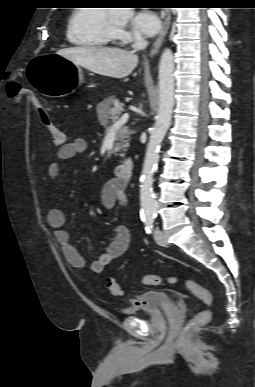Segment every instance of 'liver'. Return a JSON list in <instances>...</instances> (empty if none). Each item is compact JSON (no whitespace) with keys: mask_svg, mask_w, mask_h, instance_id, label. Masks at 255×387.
Wrapping results in <instances>:
<instances>
[{"mask_svg":"<svg viewBox=\"0 0 255 387\" xmlns=\"http://www.w3.org/2000/svg\"><path fill=\"white\" fill-rule=\"evenodd\" d=\"M60 55L87 70L107 77L125 78L138 64L134 51L101 46L73 47L57 51Z\"/></svg>","mask_w":255,"mask_h":387,"instance_id":"1","label":"liver"}]
</instances>
